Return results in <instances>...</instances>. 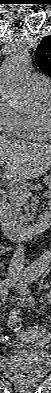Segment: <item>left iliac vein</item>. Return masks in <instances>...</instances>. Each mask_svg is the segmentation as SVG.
I'll return each mask as SVG.
<instances>
[{"label":"left iliac vein","mask_w":51,"mask_h":393,"mask_svg":"<svg viewBox=\"0 0 51 393\" xmlns=\"http://www.w3.org/2000/svg\"><path fill=\"white\" fill-rule=\"evenodd\" d=\"M15 285H16V283L13 282V283H12V286H15ZM16 287L18 288L19 292L21 293V284H20V285H16Z\"/></svg>","instance_id":"obj_1"}]
</instances>
